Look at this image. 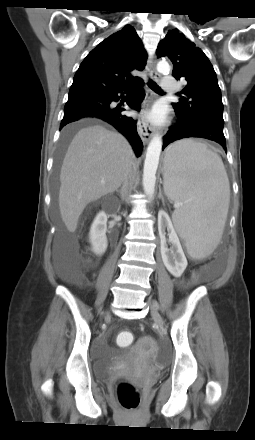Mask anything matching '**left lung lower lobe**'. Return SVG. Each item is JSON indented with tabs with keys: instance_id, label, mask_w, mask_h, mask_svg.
<instances>
[{
	"instance_id": "0a47b994",
	"label": "left lung lower lobe",
	"mask_w": 255,
	"mask_h": 440,
	"mask_svg": "<svg viewBox=\"0 0 255 440\" xmlns=\"http://www.w3.org/2000/svg\"><path fill=\"white\" fill-rule=\"evenodd\" d=\"M178 121L164 137L163 149L170 143L189 137L206 138L219 143L227 152L226 140L223 134L224 122L216 119L200 118L187 119L177 115Z\"/></svg>"
}]
</instances>
